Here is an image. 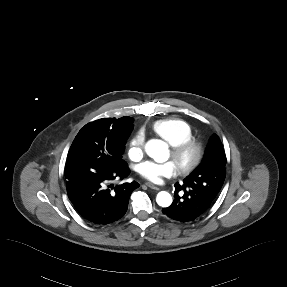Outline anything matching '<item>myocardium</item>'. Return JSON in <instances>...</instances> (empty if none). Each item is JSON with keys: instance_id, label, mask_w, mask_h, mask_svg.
<instances>
[{"instance_id": "f54148a6", "label": "myocardium", "mask_w": 287, "mask_h": 287, "mask_svg": "<svg viewBox=\"0 0 287 287\" xmlns=\"http://www.w3.org/2000/svg\"><path fill=\"white\" fill-rule=\"evenodd\" d=\"M203 156L202 144L193 138L172 147L171 150V157L182 174H188L196 169Z\"/></svg>"}]
</instances>
